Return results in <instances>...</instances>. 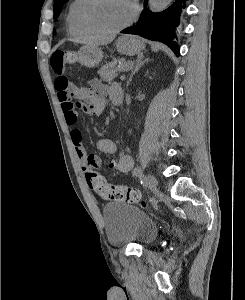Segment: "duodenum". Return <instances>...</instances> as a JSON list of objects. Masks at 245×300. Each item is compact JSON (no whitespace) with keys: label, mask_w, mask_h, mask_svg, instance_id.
<instances>
[{"label":"duodenum","mask_w":245,"mask_h":300,"mask_svg":"<svg viewBox=\"0 0 245 300\" xmlns=\"http://www.w3.org/2000/svg\"><path fill=\"white\" fill-rule=\"evenodd\" d=\"M115 103L119 107H121L123 105V94L121 92L116 94Z\"/></svg>","instance_id":"1"}]
</instances>
